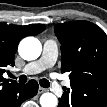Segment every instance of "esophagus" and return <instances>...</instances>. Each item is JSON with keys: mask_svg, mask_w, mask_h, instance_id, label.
I'll use <instances>...</instances> for the list:
<instances>
[{"mask_svg": "<svg viewBox=\"0 0 107 107\" xmlns=\"http://www.w3.org/2000/svg\"><path fill=\"white\" fill-rule=\"evenodd\" d=\"M45 91H47V89H45V88H43V87H39V93H43V92H45Z\"/></svg>", "mask_w": 107, "mask_h": 107, "instance_id": "34e87169", "label": "esophagus"}]
</instances>
